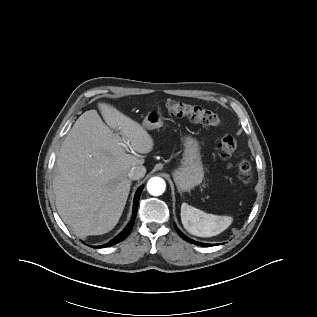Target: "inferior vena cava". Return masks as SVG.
<instances>
[{
    "label": "inferior vena cava",
    "mask_w": 317,
    "mask_h": 317,
    "mask_svg": "<svg viewBox=\"0 0 317 317\" xmlns=\"http://www.w3.org/2000/svg\"><path fill=\"white\" fill-rule=\"evenodd\" d=\"M146 174V168L142 165L132 167L128 172V177L131 180H139Z\"/></svg>",
    "instance_id": "1"
}]
</instances>
